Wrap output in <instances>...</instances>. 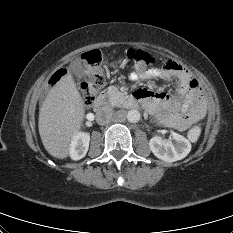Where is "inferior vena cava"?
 <instances>
[{"mask_svg":"<svg viewBox=\"0 0 233 233\" xmlns=\"http://www.w3.org/2000/svg\"><path fill=\"white\" fill-rule=\"evenodd\" d=\"M113 115V109L110 106L105 105L97 110L96 121L99 125H105L111 121Z\"/></svg>","mask_w":233,"mask_h":233,"instance_id":"602c4592","label":"inferior vena cava"}]
</instances>
